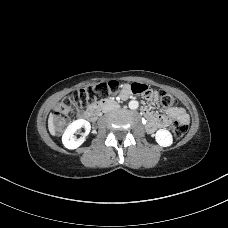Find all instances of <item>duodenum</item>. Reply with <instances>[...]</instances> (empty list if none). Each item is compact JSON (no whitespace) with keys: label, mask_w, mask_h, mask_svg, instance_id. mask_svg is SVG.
<instances>
[{"label":"duodenum","mask_w":228,"mask_h":228,"mask_svg":"<svg viewBox=\"0 0 228 228\" xmlns=\"http://www.w3.org/2000/svg\"><path fill=\"white\" fill-rule=\"evenodd\" d=\"M116 106H118V103L113 99L102 100L87 108L84 112V117L94 121L100 116L104 108ZM159 124V120L156 118V116L150 115L147 117L146 127L149 131H154L159 126Z\"/></svg>","instance_id":"obj_1"}]
</instances>
